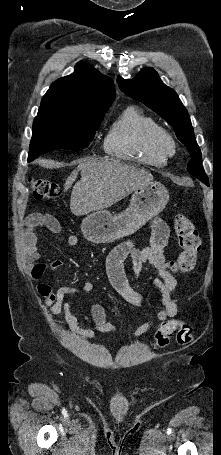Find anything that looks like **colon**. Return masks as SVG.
<instances>
[{"label":"colon","instance_id":"1","mask_svg":"<svg viewBox=\"0 0 221 455\" xmlns=\"http://www.w3.org/2000/svg\"><path fill=\"white\" fill-rule=\"evenodd\" d=\"M30 188L36 200H53L61 194V188L57 183L44 178L32 179ZM174 228L181 251L175 261L168 263V268L172 272L186 273L196 264L201 240L195 225L186 216H177ZM173 338L180 345H189L195 340V333L187 321L179 319L163 321L155 333V345L158 348H164Z\"/></svg>","mask_w":221,"mask_h":455}]
</instances>
